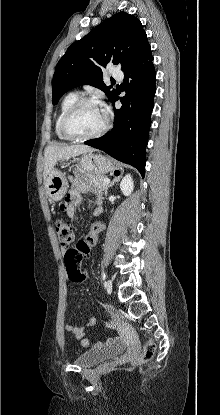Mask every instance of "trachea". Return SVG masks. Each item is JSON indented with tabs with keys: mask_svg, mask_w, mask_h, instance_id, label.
<instances>
[{
	"mask_svg": "<svg viewBox=\"0 0 220 415\" xmlns=\"http://www.w3.org/2000/svg\"><path fill=\"white\" fill-rule=\"evenodd\" d=\"M111 82H112V83H114V82H115V80H111Z\"/></svg>",
	"mask_w": 220,
	"mask_h": 415,
	"instance_id": "obj_1",
	"label": "trachea"
}]
</instances>
